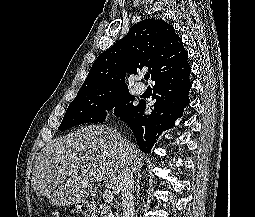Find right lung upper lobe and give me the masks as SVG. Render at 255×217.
<instances>
[{"instance_id": "right-lung-upper-lobe-1", "label": "right lung upper lobe", "mask_w": 255, "mask_h": 217, "mask_svg": "<svg viewBox=\"0 0 255 217\" xmlns=\"http://www.w3.org/2000/svg\"><path fill=\"white\" fill-rule=\"evenodd\" d=\"M187 56L173 26L163 20H142L98 56L78 93L127 87L126 73H135L144 67H148L151 79L155 80L173 70Z\"/></svg>"}]
</instances>
